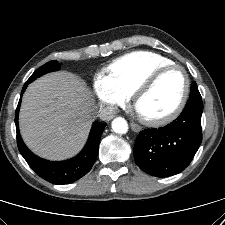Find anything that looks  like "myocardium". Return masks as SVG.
I'll use <instances>...</instances> for the list:
<instances>
[{
  "label": "myocardium",
  "instance_id": "1",
  "mask_svg": "<svg viewBox=\"0 0 225 225\" xmlns=\"http://www.w3.org/2000/svg\"><path fill=\"white\" fill-rule=\"evenodd\" d=\"M171 70H180L183 75H184V87H183V92L182 95L176 104V106L167 114L160 116V117H155V118H149V117H144L141 116L137 112V104L139 100L147 93L149 92L152 87L155 85V83L167 72ZM190 93V79L187 71L185 70L184 67L178 64H170L167 66H164L154 72H152L150 75H148L140 84L139 86L135 89V91L132 94V101H133V108L136 111L140 121L148 126H162L165 125L174 119H176L181 112L183 111L189 97Z\"/></svg>",
  "mask_w": 225,
  "mask_h": 225
}]
</instances>
